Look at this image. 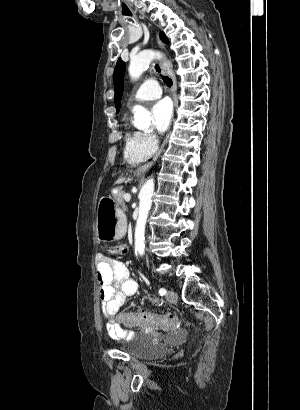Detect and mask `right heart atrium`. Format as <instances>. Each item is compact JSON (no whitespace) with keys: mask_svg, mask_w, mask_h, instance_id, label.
I'll return each instance as SVG.
<instances>
[{"mask_svg":"<svg viewBox=\"0 0 300 410\" xmlns=\"http://www.w3.org/2000/svg\"><path fill=\"white\" fill-rule=\"evenodd\" d=\"M139 143L141 149L148 155L154 153L158 146L156 137L148 133H139Z\"/></svg>","mask_w":300,"mask_h":410,"instance_id":"d8ad5b80","label":"right heart atrium"}]
</instances>
